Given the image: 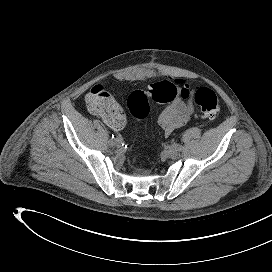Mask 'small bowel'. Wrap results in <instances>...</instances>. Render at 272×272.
<instances>
[{
  "mask_svg": "<svg viewBox=\"0 0 272 272\" xmlns=\"http://www.w3.org/2000/svg\"><path fill=\"white\" fill-rule=\"evenodd\" d=\"M176 83L179 85H186L183 80H176ZM193 115L194 110L192 104L184 101L181 97H177L160 114L158 117V125L165 135H170L175 129L189 122ZM100 116L106 124L115 131H119L125 126V115L113 98L111 99V105L108 112Z\"/></svg>",
  "mask_w": 272,
  "mask_h": 272,
  "instance_id": "obj_1",
  "label": "small bowel"
}]
</instances>
